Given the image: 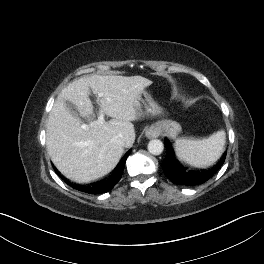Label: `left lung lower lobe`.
<instances>
[{
	"instance_id": "left-lung-lower-lobe-1",
	"label": "left lung lower lobe",
	"mask_w": 264,
	"mask_h": 264,
	"mask_svg": "<svg viewBox=\"0 0 264 264\" xmlns=\"http://www.w3.org/2000/svg\"><path fill=\"white\" fill-rule=\"evenodd\" d=\"M164 142L167 156L162 163L163 171L164 174L177 185L194 186L206 182L221 168L226 158V152H224L218 163L206 171L187 170L179 164L174 157L169 140L166 139Z\"/></svg>"
}]
</instances>
